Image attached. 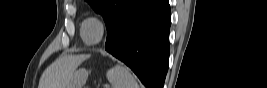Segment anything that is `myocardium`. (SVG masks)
I'll use <instances>...</instances> for the list:
<instances>
[{
    "label": "myocardium",
    "mask_w": 267,
    "mask_h": 88,
    "mask_svg": "<svg viewBox=\"0 0 267 88\" xmlns=\"http://www.w3.org/2000/svg\"><path fill=\"white\" fill-rule=\"evenodd\" d=\"M91 21L95 22L99 26V29H100L99 37L95 41H92V42L88 41L87 38H86V35H85L86 25ZM104 35H105V25H104V23H103V21L101 19H99L97 17H89L86 20H84L83 25L81 26V36H82L83 41L86 44H88V45H96V44L100 43L103 40Z\"/></svg>",
    "instance_id": "obj_1"
}]
</instances>
